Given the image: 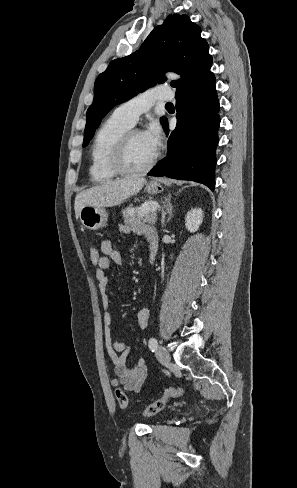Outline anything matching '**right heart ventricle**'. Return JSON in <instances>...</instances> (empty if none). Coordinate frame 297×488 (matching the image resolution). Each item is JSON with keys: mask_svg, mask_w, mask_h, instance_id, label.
Returning <instances> with one entry per match:
<instances>
[{"mask_svg": "<svg viewBox=\"0 0 297 488\" xmlns=\"http://www.w3.org/2000/svg\"><path fill=\"white\" fill-rule=\"evenodd\" d=\"M131 127L115 113L101 125L91 146L89 172L94 182H108L118 176L111 168V155L120 137Z\"/></svg>", "mask_w": 297, "mask_h": 488, "instance_id": "right-heart-ventricle-1", "label": "right heart ventricle"}]
</instances>
